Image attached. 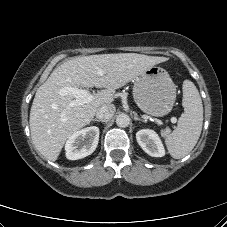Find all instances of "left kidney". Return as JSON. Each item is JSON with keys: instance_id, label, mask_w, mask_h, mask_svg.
I'll return each instance as SVG.
<instances>
[{"instance_id": "left-kidney-1", "label": "left kidney", "mask_w": 227, "mask_h": 227, "mask_svg": "<svg viewBox=\"0 0 227 227\" xmlns=\"http://www.w3.org/2000/svg\"><path fill=\"white\" fill-rule=\"evenodd\" d=\"M136 140L141 148L152 157H163L165 149L158 134L150 129H142L136 133Z\"/></svg>"}]
</instances>
